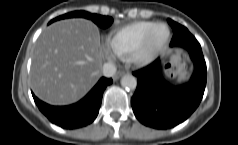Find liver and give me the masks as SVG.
I'll return each mask as SVG.
<instances>
[{"label": "liver", "instance_id": "liver-1", "mask_svg": "<svg viewBox=\"0 0 238 145\" xmlns=\"http://www.w3.org/2000/svg\"><path fill=\"white\" fill-rule=\"evenodd\" d=\"M107 54L89 20H61L38 38L30 72L34 94L51 105H69L95 85Z\"/></svg>", "mask_w": 238, "mask_h": 145}]
</instances>
